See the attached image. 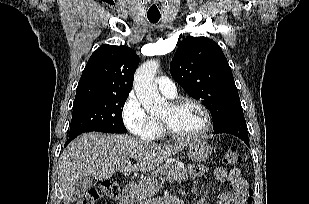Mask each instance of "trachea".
Returning a JSON list of instances; mask_svg holds the SVG:
<instances>
[{"instance_id": "1", "label": "trachea", "mask_w": 309, "mask_h": 204, "mask_svg": "<svg viewBox=\"0 0 309 204\" xmlns=\"http://www.w3.org/2000/svg\"><path fill=\"white\" fill-rule=\"evenodd\" d=\"M147 18L151 23H157L160 19V16H147Z\"/></svg>"}]
</instances>
